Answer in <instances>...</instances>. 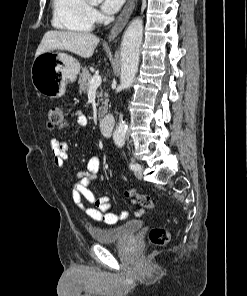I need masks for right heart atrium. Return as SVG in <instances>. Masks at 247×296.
Here are the masks:
<instances>
[{"mask_svg":"<svg viewBox=\"0 0 247 296\" xmlns=\"http://www.w3.org/2000/svg\"><path fill=\"white\" fill-rule=\"evenodd\" d=\"M89 13L92 21H98L100 19V14L95 8L90 7Z\"/></svg>","mask_w":247,"mask_h":296,"instance_id":"obj_1","label":"right heart atrium"}]
</instances>
